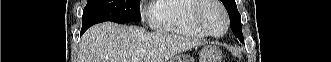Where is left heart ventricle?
<instances>
[{"label": "left heart ventricle", "mask_w": 331, "mask_h": 62, "mask_svg": "<svg viewBox=\"0 0 331 62\" xmlns=\"http://www.w3.org/2000/svg\"><path fill=\"white\" fill-rule=\"evenodd\" d=\"M205 25L215 34H220L224 30V19L220 10L215 6L207 7L202 13Z\"/></svg>", "instance_id": "left-heart-ventricle-1"}]
</instances>
